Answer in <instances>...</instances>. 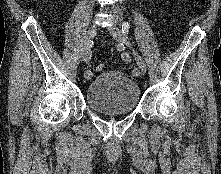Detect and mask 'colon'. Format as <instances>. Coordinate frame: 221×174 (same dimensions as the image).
<instances>
[{"instance_id":"5ec220e1","label":"colon","mask_w":221,"mask_h":174,"mask_svg":"<svg viewBox=\"0 0 221 174\" xmlns=\"http://www.w3.org/2000/svg\"><path fill=\"white\" fill-rule=\"evenodd\" d=\"M95 69H96V71L101 72L104 69V65L103 64H98Z\"/></svg>"}]
</instances>
